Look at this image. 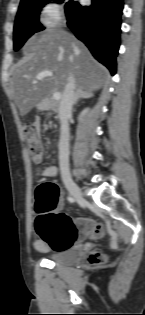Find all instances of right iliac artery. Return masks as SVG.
Masks as SVG:
<instances>
[{
  "mask_svg": "<svg viewBox=\"0 0 145 315\" xmlns=\"http://www.w3.org/2000/svg\"><path fill=\"white\" fill-rule=\"evenodd\" d=\"M67 199H68V201L71 202V203H73V202L75 201V199H74L73 197H71V196H69Z\"/></svg>",
  "mask_w": 145,
  "mask_h": 315,
  "instance_id": "1",
  "label": "right iliac artery"
}]
</instances>
